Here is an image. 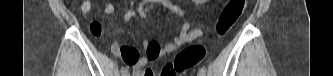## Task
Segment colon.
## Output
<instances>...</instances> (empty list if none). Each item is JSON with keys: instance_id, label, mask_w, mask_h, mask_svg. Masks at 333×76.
I'll use <instances>...</instances> for the list:
<instances>
[{"instance_id": "1", "label": "colon", "mask_w": 333, "mask_h": 76, "mask_svg": "<svg viewBox=\"0 0 333 76\" xmlns=\"http://www.w3.org/2000/svg\"><path fill=\"white\" fill-rule=\"evenodd\" d=\"M246 0H230L220 13L216 22V32L218 35H226L239 17L243 14ZM206 55V49L202 45H191L179 52L171 61L167 62L160 71L165 76H175L184 73L189 68L199 64ZM151 68L145 69V76H154Z\"/></svg>"}]
</instances>
